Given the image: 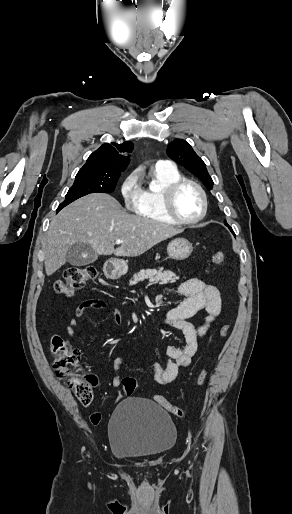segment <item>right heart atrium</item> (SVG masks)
I'll return each instance as SVG.
<instances>
[{
    "label": "right heart atrium",
    "mask_w": 292,
    "mask_h": 514,
    "mask_svg": "<svg viewBox=\"0 0 292 514\" xmlns=\"http://www.w3.org/2000/svg\"><path fill=\"white\" fill-rule=\"evenodd\" d=\"M119 194L123 200V209H131L133 212L140 203L142 195L137 173L131 172L121 180Z\"/></svg>",
    "instance_id": "d8ad5b80"
}]
</instances>
